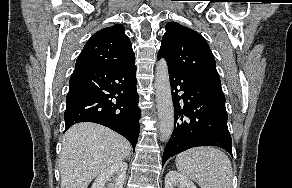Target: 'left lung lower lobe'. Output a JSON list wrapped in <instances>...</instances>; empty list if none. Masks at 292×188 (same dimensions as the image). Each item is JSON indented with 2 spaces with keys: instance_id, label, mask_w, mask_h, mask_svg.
I'll return each instance as SVG.
<instances>
[{
  "instance_id": "obj_1",
  "label": "left lung lower lobe",
  "mask_w": 292,
  "mask_h": 188,
  "mask_svg": "<svg viewBox=\"0 0 292 188\" xmlns=\"http://www.w3.org/2000/svg\"><path fill=\"white\" fill-rule=\"evenodd\" d=\"M175 127L167 143L165 161L196 146H218L232 154V141L227 127L225 96L221 87L169 70ZM178 92H182L181 96Z\"/></svg>"
}]
</instances>
